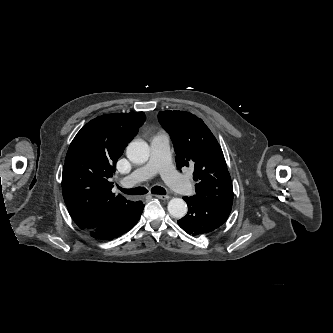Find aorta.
I'll return each instance as SVG.
<instances>
[{"label": "aorta", "mask_w": 333, "mask_h": 333, "mask_svg": "<svg viewBox=\"0 0 333 333\" xmlns=\"http://www.w3.org/2000/svg\"><path fill=\"white\" fill-rule=\"evenodd\" d=\"M149 154V146L144 141L135 140L127 146L126 155L133 163L142 164L147 162ZM168 212L173 217L181 218L187 213V204L181 198H173L168 203Z\"/></svg>", "instance_id": "obj_1"}]
</instances>
